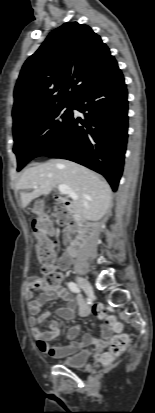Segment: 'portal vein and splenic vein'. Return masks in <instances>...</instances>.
<instances>
[{
    "mask_svg": "<svg viewBox=\"0 0 155 413\" xmlns=\"http://www.w3.org/2000/svg\"><path fill=\"white\" fill-rule=\"evenodd\" d=\"M58 189H59L61 194L68 195L72 199H77L76 193L69 186H67L65 184H59Z\"/></svg>",
    "mask_w": 155,
    "mask_h": 413,
    "instance_id": "portal-vein-and-splenic-vein-1",
    "label": "portal vein and splenic vein"
}]
</instances>
